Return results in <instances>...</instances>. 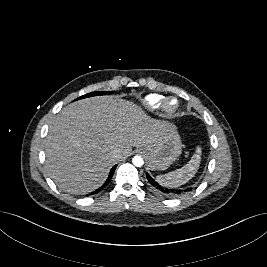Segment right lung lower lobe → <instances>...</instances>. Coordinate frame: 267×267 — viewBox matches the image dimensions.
Returning <instances> with one entry per match:
<instances>
[{
    "label": "right lung lower lobe",
    "mask_w": 267,
    "mask_h": 267,
    "mask_svg": "<svg viewBox=\"0 0 267 267\" xmlns=\"http://www.w3.org/2000/svg\"><path fill=\"white\" fill-rule=\"evenodd\" d=\"M116 166H117V165H115V166L111 169V171H110V173H109V176H108L106 182L104 183V185H102L99 189L95 190V191L92 192L91 194H97L99 191H101V190H102V189H103V188L110 182V180H111V178H112V176H113V174H114V171H115V169H116Z\"/></svg>",
    "instance_id": "98d812e1"
}]
</instances>
